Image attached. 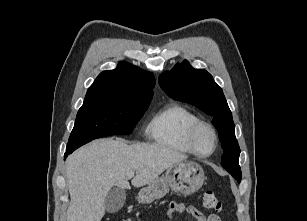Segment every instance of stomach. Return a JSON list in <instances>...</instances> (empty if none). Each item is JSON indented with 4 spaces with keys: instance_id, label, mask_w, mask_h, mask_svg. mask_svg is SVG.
I'll return each mask as SVG.
<instances>
[{
    "instance_id": "stomach-1",
    "label": "stomach",
    "mask_w": 307,
    "mask_h": 221,
    "mask_svg": "<svg viewBox=\"0 0 307 221\" xmlns=\"http://www.w3.org/2000/svg\"><path fill=\"white\" fill-rule=\"evenodd\" d=\"M204 183L203 168L193 161H182L169 167L165 174L156 178L138 193V201L151 203L164 197L169 188L185 195L199 190Z\"/></svg>"
}]
</instances>
